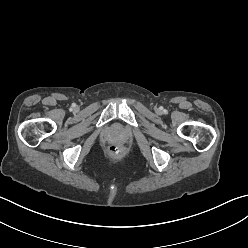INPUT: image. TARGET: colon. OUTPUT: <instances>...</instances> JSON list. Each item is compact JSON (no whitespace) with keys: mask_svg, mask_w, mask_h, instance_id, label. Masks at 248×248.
Masks as SVG:
<instances>
[{"mask_svg":"<svg viewBox=\"0 0 248 248\" xmlns=\"http://www.w3.org/2000/svg\"><path fill=\"white\" fill-rule=\"evenodd\" d=\"M109 154L114 158H119L124 154V149L118 145H112L109 147Z\"/></svg>","mask_w":248,"mask_h":248,"instance_id":"colon-1","label":"colon"}]
</instances>
